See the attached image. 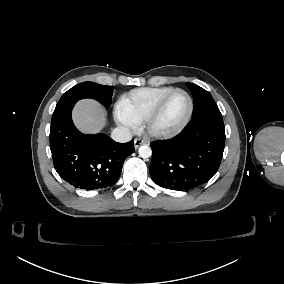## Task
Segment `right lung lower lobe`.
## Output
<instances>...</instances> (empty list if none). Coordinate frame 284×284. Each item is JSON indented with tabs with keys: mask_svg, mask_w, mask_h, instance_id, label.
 <instances>
[{
	"mask_svg": "<svg viewBox=\"0 0 284 284\" xmlns=\"http://www.w3.org/2000/svg\"><path fill=\"white\" fill-rule=\"evenodd\" d=\"M74 105L55 108L52 115L50 149L55 170L75 188L110 187L118 180L125 159L134 152L133 140L118 143L104 134H82L72 122Z\"/></svg>",
	"mask_w": 284,
	"mask_h": 284,
	"instance_id": "1",
	"label": "right lung lower lobe"
}]
</instances>
